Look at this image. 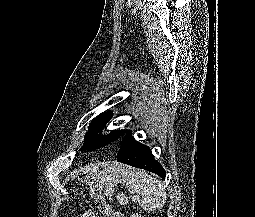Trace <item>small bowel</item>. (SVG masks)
<instances>
[{
  "mask_svg": "<svg viewBox=\"0 0 255 217\" xmlns=\"http://www.w3.org/2000/svg\"><path fill=\"white\" fill-rule=\"evenodd\" d=\"M106 210L104 211V214L106 215H110V210H109V206L107 205V202H106ZM81 217H95L94 213L91 212V211H86V212H83Z\"/></svg>",
  "mask_w": 255,
  "mask_h": 217,
  "instance_id": "c3829d8e",
  "label": "small bowel"
}]
</instances>
